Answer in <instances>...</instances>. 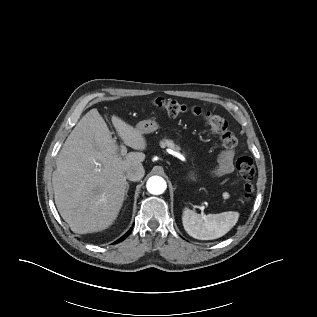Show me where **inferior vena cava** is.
<instances>
[{
  "label": "inferior vena cava",
  "instance_id": "obj_1",
  "mask_svg": "<svg viewBox=\"0 0 317 317\" xmlns=\"http://www.w3.org/2000/svg\"><path fill=\"white\" fill-rule=\"evenodd\" d=\"M145 170L142 165L131 167L127 173L126 178L131 181H139L144 177Z\"/></svg>",
  "mask_w": 317,
  "mask_h": 317
}]
</instances>
